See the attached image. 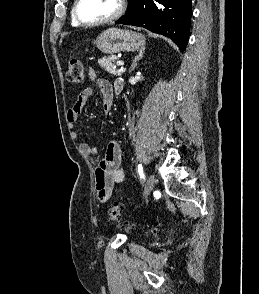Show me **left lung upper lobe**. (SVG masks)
Segmentation results:
<instances>
[{"instance_id":"left-lung-upper-lobe-1","label":"left lung upper lobe","mask_w":259,"mask_h":294,"mask_svg":"<svg viewBox=\"0 0 259 294\" xmlns=\"http://www.w3.org/2000/svg\"><path fill=\"white\" fill-rule=\"evenodd\" d=\"M132 1H133V0H129V6H128V9H127V12L130 11L131 8H132Z\"/></svg>"}]
</instances>
